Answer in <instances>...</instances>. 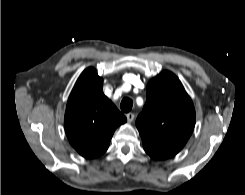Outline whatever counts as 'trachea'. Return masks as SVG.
I'll return each instance as SVG.
<instances>
[{
	"instance_id": "obj_1",
	"label": "trachea",
	"mask_w": 245,
	"mask_h": 195,
	"mask_svg": "<svg viewBox=\"0 0 245 195\" xmlns=\"http://www.w3.org/2000/svg\"><path fill=\"white\" fill-rule=\"evenodd\" d=\"M132 106L133 101L130 98H124L120 104L121 110L125 113L129 112L132 109Z\"/></svg>"
}]
</instances>
